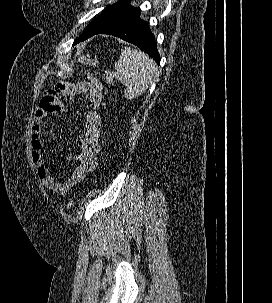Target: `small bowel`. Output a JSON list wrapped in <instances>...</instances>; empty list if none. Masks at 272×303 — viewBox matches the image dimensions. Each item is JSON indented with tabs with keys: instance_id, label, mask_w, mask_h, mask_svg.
<instances>
[{
	"instance_id": "obj_1",
	"label": "small bowel",
	"mask_w": 272,
	"mask_h": 303,
	"mask_svg": "<svg viewBox=\"0 0 272 303\" xmlns=\"http://www.w3.org/2000/svg\"><path fill=\"white\" fill-rule=\"evenodd\" d=\"M84 96L88 107L83 110V132L75 141L77 153L69 160L76 162L65 181L55 178L45 165L43 154V121L51 114L66 110L64 101ZM103 102V86L93 76L86 75L79 83L59 82L47 90L37 106L31 129V152L36 173L42 184L59 196L68 194L79 182L96 168V155L100 149L102 116L99 110Z\"/></svg>"
}]
</instances>
